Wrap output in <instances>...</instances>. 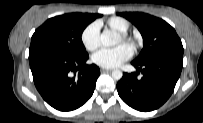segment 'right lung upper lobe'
<instances>
[{
    "instance_id": "right-lung-upper-lobe-1",
    "label": "right lung upper lobe",
    "mask_w": 203,
    "mask_h": 123,
    "mask_svg": "<svg viewBox=\"0 0 203 123\" xmlns=\"http://www.w3.org/2000/svg\"><path fill=\"white\" fill-rule=\"evenodd\" d=\"M91 17L94 18V20L97 18V17H100L99 14H89Z\"/></svg>"
}]
</instances>
